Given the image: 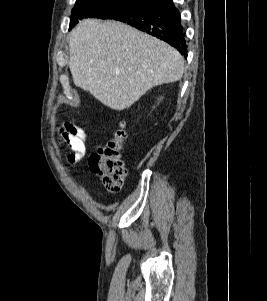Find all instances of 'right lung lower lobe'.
<instances>
[{"mask_svg":"<svg viewBox=\"0 0 267 301\" xmlns=\"http://www.w3.org/2000/svg\"><path fill=\"white\" fill-rule=\"evenodd\" d=\"M113 19L128 23L167 42L187 57L185 32L179 11L172 0H161Z\"/></svg>","mask_w":267,"mask_h":301,"instance_id":"1","label":"right lung lower lobe"}]
</instances>
